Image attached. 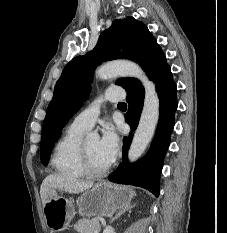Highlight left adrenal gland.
I'll use <instances>...</instances> for the list:
<instances>
[{"label":"left adrenal gland","instance_id":"left-adrenal-gland-1","mask_svg":"<svg viewBox=\"0 0 227 233\" xmlns=\"http://www.w3.org/2000/svg\"><path fill=\"white\" fill-rule=\"evenodd\" d=\"M133 207H134V205H133V206H129V207H127V208H125V209L119 211V212L111 219L110 223L114 222V221H115L116 219H118L124 212L131 210V208H133Z\"/></svg>","mask_w":227,"mask_h":233}]
</instances>
